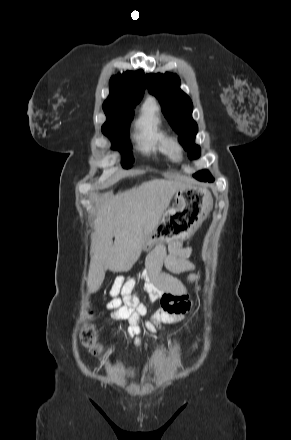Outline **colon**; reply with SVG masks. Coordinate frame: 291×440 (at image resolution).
<instances>
[{
    "label": "colon",
    "mask_w": 291,
    "mask_h": 440,
    "mask_svg": "<svg viewBox=\"0 0 291 440\" xmlns=\"http://www.w3.org/2000/svg\"><path fill=\"white\" fill-rule=\"evenodd\" d=\"M80 339L93 354L103 357L104 351L100 339V333L94 322V314L91 309L86 310L85 314L82 316ZM200 342L201 340L198 337L195 340L194 345L197 347L200 345Z\"/></svg>",
    "instance_id": "1"
}]
</instances>
